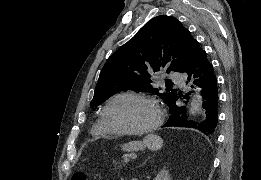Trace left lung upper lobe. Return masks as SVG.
Segmentation results:
<instances>
[{
    "mask_svg": "<svg viewBox=\"0 0 261 180\" xmlns=\"http://www.w3.org/2000/svg\"><path fill=\"white\" fill-rule=\"evenodd\" d=\"M197 44L176 18L165 15L155 17L106 62L90 106H98L121 90L150 92L160 96L168 105L177 91L171 88L167 80L166 91L160 94L150 85V76L169 63L167 73L181 72Z\"/></svg>",
    "mask_w": 261,
    "mask_h": 180,
    "instance_id": "5c2ea615",
    "label": "left lung upper lobe"
}]
</instances>
